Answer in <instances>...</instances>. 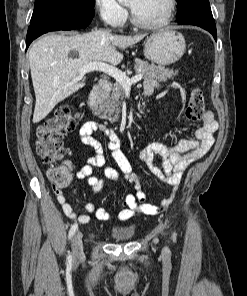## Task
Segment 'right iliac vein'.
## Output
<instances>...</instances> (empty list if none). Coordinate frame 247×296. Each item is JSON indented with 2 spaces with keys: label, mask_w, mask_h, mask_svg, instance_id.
<instances>
[{
  "label": "right iliac vein",
  "mask_w": 247,
  "mask_h": 296,
  "mask_svg": "<svg viewBox=\"0 0 247 296\" xmlns=\"http://www.w3.org/2000/svg\"><path fill=\"white\" fill-rule=\"evenodd\" d=\"M72 252L74 259H80L83 257L82 234L79 231L73 235Z\"/></svg>",
  "instance_id": "right-iliac-vein-1"
}]
</instances>
